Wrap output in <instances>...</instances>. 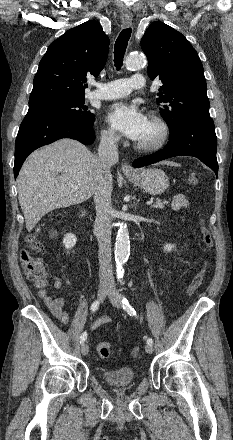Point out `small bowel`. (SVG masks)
<instances>
[{
    "label": "small bowel",
    "mask_w": 233,
    "mask_h": 440,
    "mask_svg": "<svg viewBox=\"0 0 233 440\" xmlns=\"http://www.w3.org/2000/svg\"><path fill=\"white\" fill-rule=\"evenodd\" d=\"M171 206L174 210L189 209L190 204L183 194H176L172 199ZM35 287L38 289V296L44 301V303L50 309L52 315L63 324H67L69 322V316L67 311L65 310V303H66L65 299L61 296H51L47 288V281L42 286L35 283ZM53 287L56 290H61L63 287V282L61 280H56L53 284ZM110 322H111V318L107 315H104L97 318L91 324L90 328L92 330H95Z\"/></svg>",
    "instance_id": "obj_1"
}]
</instances>
